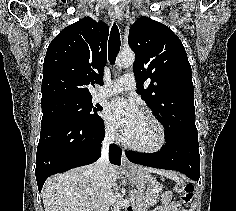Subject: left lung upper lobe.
<instances>
[{
  "mask_svg": "<svg viewBox=\"0 0 236 211\" xmlns=\"http://www.w3.org/2000/svg\"><path fill=\"white\" fill-rule=\"evenodd\" d=\"M128 42L136 54L137 91L164 126L166 140L198 139L192 71L180 39L167 26L140 17Z\"/></svg>",
  "mask_w": 236,
  "mask_h": 211,
  "instance_id": "left-lung-upper-lobe-1",
  "label": "left lung upper lobe"
}]
</instances>
